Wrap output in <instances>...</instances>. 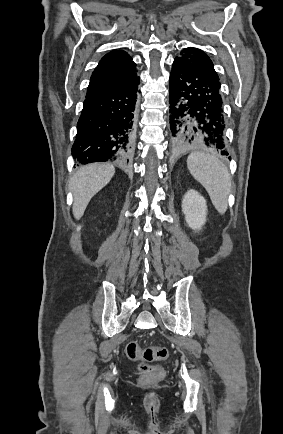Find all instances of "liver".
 <instances>
[{
	"instance_id": "1",
	"label": "liver",
	"mask_w": 283,
	"mask_h": 434,
	"mask_svg": "<svg viewBox=\"0 0 283 434\" xmlns=\"http://www.w3.org/2000/svg\"><path fill=\"white\" fill-rule=\"evenodd\" d=\"M115 173L110 164H90L81 167L71 178L70 190L73 192V215L79 220L91 198L105 187Z\"/></svg>"
}]
</instances>
